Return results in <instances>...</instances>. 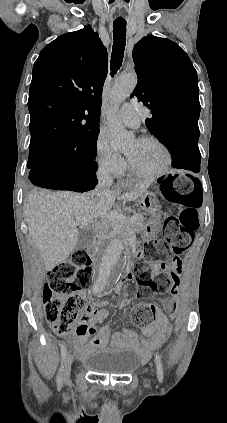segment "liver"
<instances>
[{
    "label": "liver",
    "instance_id": "1",
    "mask_svg": "<svg viewBox=\"0 0 227 423\" xmlns=\"http://www.w3.org/2000/svg\"><path fill=\"white\" fill-rule=\"evenodd\" d=\"M149 186V182H137L132 192L122 196L120 190H93L86 194L48 190L30 192L25 198L24 213L29 235L40 251L45 269L50 271L69 257L78 241V225L91 221L99 223L100 213L111 210L115 200L134 202Z\"/></svg>",
    "mask_w": 227,
    "mask_h": 423
}]
</instances>
